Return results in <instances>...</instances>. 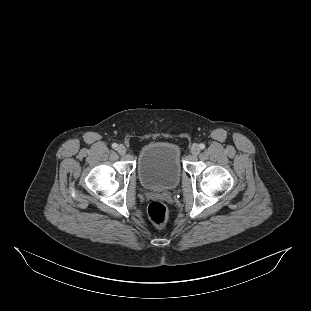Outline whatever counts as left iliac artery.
I'll list each match as a JSON object with an SVG mask.
<instances>
[{
	"mask_svg": "<svg viewBox=\"0 0 311 311\" xmlns=\"http://www.w3.org/2000/svg\"><path fill=\"white\" fill-rule=\"evenodd\" d=\"M199 147H200V149H204V148H205V144L201 143V144L199 145Z\"/></svg>",
	"mask_w": 311,
	"mask_h": 311,
	"instance_id": "obj_1",
	"label": "left iliac artery"
}]
</instances>
